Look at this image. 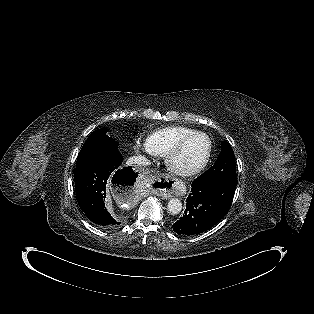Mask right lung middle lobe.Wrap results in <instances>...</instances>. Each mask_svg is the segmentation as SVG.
I'll return each instance as SVG.
<instances>
[{
    "label": "right lung middle lobe",
    "mask_w": 314,
    "mask_h": 314,
    "mask_svg": "<svg viewBox=\"0 0 314 314\" xmlns=\"http://www.w3.org/2000/svg\"><path fill=\"white\" fill-rule=\"evenodd\" d=\"M107 131L108 129L101 128L89 135L78 155L76 167H81L108 153L111 149L117 148V142L106 134Z\"/></svg>",
    "instance_id": "obj_1"
}]
</instances>
